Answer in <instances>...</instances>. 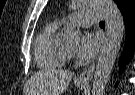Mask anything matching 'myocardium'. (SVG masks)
<instances>
[{"label":"myocardium","mask_w":135,"mask_h":95,"mask_svg":"<svg viewBox=\"0 0 135 95\" xmlns=\"http://www.w3.org/2000/svg\"><path fill=\"white\" fill-rule=\"evenodd\" d=\"M68 51L71 52V49L68 48Z\"/></svg>","instance_id":"obj_1"}]
</instances>
